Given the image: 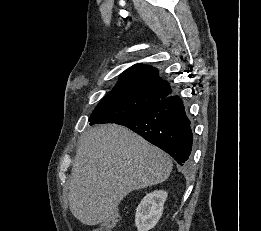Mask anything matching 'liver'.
Segmentation results:
<instances>
[{
  "mask_svg": "<svg viewBox=\"0 0 261 231\" xmlns=\"http://www.w3.org/2000/svg\"><path fill=\"white\" fill-rule=\"evenodd\" d=\"M170 157L116 124L99 125L84 137L68 180L69 208L85 225L108 220L133 190L165 181Z\"/></svg>",
  "mask_w": 261,
  "mask_h": 231,
  "instance_id": "obj_1",
  "label": "liver"
}]
</instances>
